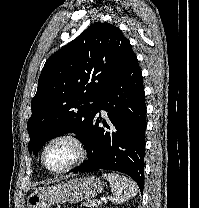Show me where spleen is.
Here are the masks:
<instances>
[{"instance_id":"obj_1","label":"spleen","mask_w":199,"mask_h":208,"mask_svg":"<svg viewBox=\"0 0 199 208\" xmlns=\"http://www.w3.org/2000/svg\"><path fill=\"white\" fill-rule=\"evenodd\" d=\"M102 176L111 184V201L114 204L124 203L137 195L138 189L132 180L113 173H105Z\"/></svg>"}]
</instances>
